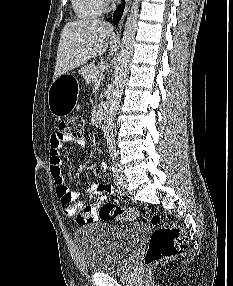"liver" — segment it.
<instances>
[{"label": "liver", "mask_w": 233, "mask_h": 286, "mask_svg": "<svg viewBox=\"0 0 233 286\" xmlns=\"http://www.w3.org/2000/svg\"><path fill=\"white\" fill-rule=\"evenodd\" d=\"M109 39L112 55L116 37L111 24L99 19L68 22L61 33L53 80L104 53Z\"/></svg>", "instance_id": "liver-1"}]
</instances>
